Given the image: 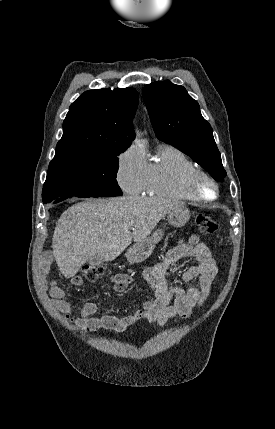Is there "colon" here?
<instances>
[{"label": "colon", "instance_id": "5ec220e1", "mask_svg": "<svg viewBox=\"0 0 275 429\" xmlns=\"http://www.w3.org/2000/svg\"><path fill=\"white\" fill-rule=\"evenodd\" d=\"M196 225L206 235H213L218 231V224L205 214L197 215ZM82 274L88 280H96L104 274V268L98 265H85L82 267Z\"/></svg>", "mask_w": 275, "mask_h": 429}]
</instances>
